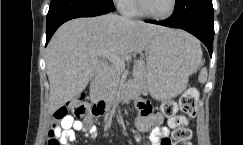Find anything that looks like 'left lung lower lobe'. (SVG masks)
Masks as SVG:
<instances>
[{
    "mask_svg": "<svg viewBox=\"0 0 243 145\" xmlns=\"http://www.w3.org/2000/svg\"><path fill=\"white\" fill-rule=\"evenodd\" d=\"M153 24L163 25L171 28H181L196 36L201 40L208 48L209 54L212 56L214 28H201L190 22H187L179 13L173 12V14L163 21H147Z\"/></svg>",
    "mask_w": 243,
    "mask_h": 145,
    "instance_id": "left-lung-lower-lobe-1",
    "label": "left lung lower lobe"
}]
</instances>
